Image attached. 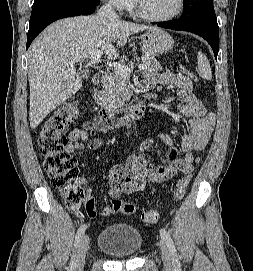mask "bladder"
I'll return each mask as SVG.
<instances>
[{"instance_id":"obj_1","label":"bladder","mask_w":253,"mask_h":271,"mask_svg":"<svg viewBox=\"0 0 253 271\" xmlns=\"http://www.w3.org/2000/svg\"><path fill=\"white\" fill-rule=\"evenodd\" d=\"M143 244V235L136 227L126 223L106 226L99 234L97 247L112 258H131Z\"/></svg>"}]
</instances>
